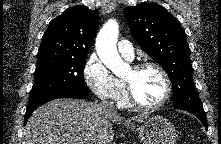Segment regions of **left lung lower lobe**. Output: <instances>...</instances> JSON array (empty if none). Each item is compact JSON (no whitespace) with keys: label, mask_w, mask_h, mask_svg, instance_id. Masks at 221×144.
<instances>
[{"label":"left lung lower lobe","mask_w":221,"mask_h":144,"mask_svg":"<svg viewBox=\"0 0 221 144\" xmlns=\"http://www.w3.org/2000/svg\"><path fill=\"white\" fill-rule=\"evenodd\" d=\"M174 108L185 110L187 112H190V113L194 114L195 116H197L202 121L204 126L207 128V122H206V116H205L204 110H197V109L186 108V107H179V108L174 107Z\"/></svg>","instance_id":"obj_1"}]
</instances>
